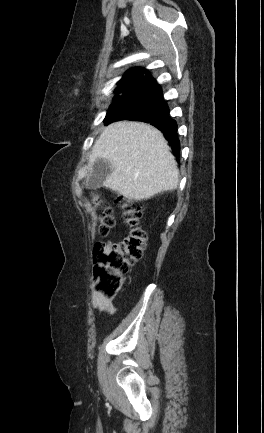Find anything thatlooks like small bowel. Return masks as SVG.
<instances>
[{
  "instance_id": "c3829d8e",
  "label": "small bowel",
  "mask_w": 264,
  "mask_h": 433,
  "mask_svg": "<svg viewBox=\"0 0 264 433\" xmlns=\"http://www.w3.org/2000/svg\"><path fill=\"white\" fill-rule=\"evenodd\" d=\"M91 305L94 309L113 315L116 307L113 299L105 298L97 289H93L91 295Z\"/></svg>"
}]
</instances>
